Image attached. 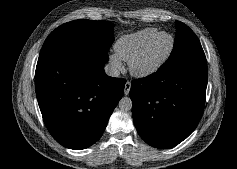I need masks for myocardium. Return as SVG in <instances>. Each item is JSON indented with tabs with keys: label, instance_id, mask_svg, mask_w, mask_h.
I'll list each match as a JSON object with an SVG mask.
<instances>
[{
	"label": "myocardium",
	"instance_id": "myocardium-1",
	"mask_svg": "<svg viewBox=\"0 0 237 169\" xmlns=\"http://www.w3.org/2000/svg\"><path fill=\"white\" fill-rule=\"evenodd\" d=\"M162 35H167L170 39V47L167 51V53L160 58L157 62H155L152 65H149L147 67H140L139 63L141 62V60L143 59L144 55L146 54V52L148 51V49L150 48V46L154 43V41L162 36ZM174 45H175V41H174V37L172 36V34L166 32V31H162L157 33L153 38H151L142 48L141 50L131 59V61L129 62V69L130 72L139 78H144L147 77L153 73H155L157 70H159L164 64L165 62L169 59V57L171 56L173 49H174Z\"/></svg>",
	"mask_w": 237,
	"mask_h": 169
}]
</instances>
